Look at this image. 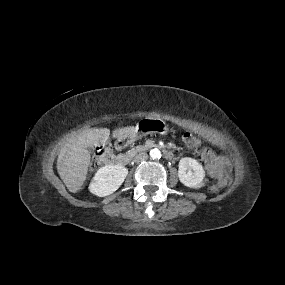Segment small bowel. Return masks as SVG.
I'll list each match as a JSON object with an SVG mask.
<instances>
[{
  "instance_id": "c3829d8e",
  "label": "small bowel",
  "mask_w": 285,
  "mask_h": 285,
  "mask_svg": "<svg viewBox=\"0 0 285 285\" xmlns=\"http://www.w3.org/2000/svg\"><path fill=\"white\" fill-rule=\"evenodd\" d=\"M201 159L204 162L205 169L210 177H218L223 173L230 171V164L226 159L216 155L212 150L203 148L201 150Z\"/></svg>"
}]
</instances>
